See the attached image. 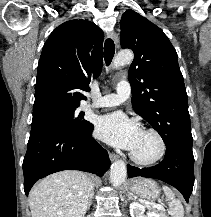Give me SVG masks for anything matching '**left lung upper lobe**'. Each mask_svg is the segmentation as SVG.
Returning a JSON list of instances; mask_svg holds the SVG:
<instances>
[{
	"instance_id": "left-lung-upper-lobe-1",
	"label": "left lung upper lobe",
	"mask_w": 211,
	"mask_h": 217,
	"mask_svg": "<svg viewBox=\"0 0 211 217\" xmlns=\"http://www.w3.org/2000/svg\"><path fill=\"white\" fill-rule=\"evenodd\" d=\"M120 26L121 47L135 55L128 71L134 111L166 145L192 146L187 93L176 50L160 28L133 10L123 13Z\"/></svg>"
}]
</instances>
